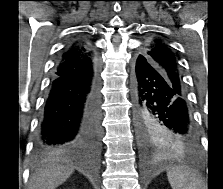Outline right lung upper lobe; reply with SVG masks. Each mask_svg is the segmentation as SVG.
Instances as JSON below:
<instances>
[{
  "label": "right lung upper lobe",
  "mask_w": 223,
  "mask_h": 189,
  "mask_svg": "<svg viewBox=\"0 0 223 189\" xmlns=\"http://www.w3.org/2000/svg\"><path fill=\"white\" fill-rule=\"evenodd\" d=\"M95 59L91 46L82 39H76L59 59L54 75L77 76L86 73Z\"/></svg>",
  "instance_id": "cb5924a9"
}]
</instances>
